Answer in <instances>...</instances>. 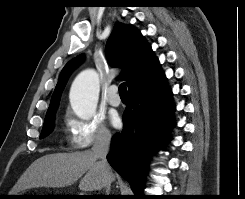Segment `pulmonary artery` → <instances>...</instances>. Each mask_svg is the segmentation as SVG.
<instances>
[{
    "instance_id": "e3ab8cb5",
    "label": "pulmonary artery",
    "mask_w": 245,
    "mask_h": 199,
    "mask_svg": "<svg viewBox=\"0 0 245 199\" xmlns=\"http://www.w3.org/2000/svg\"><path fill=\"white\" fill-rule=\"evenodd\" d=\"M118 87L116 85H112L109 87L107 92V101L110 105L114 107H118L121 105V99L117 94Z\"/></svg>"
}]
</instances>
